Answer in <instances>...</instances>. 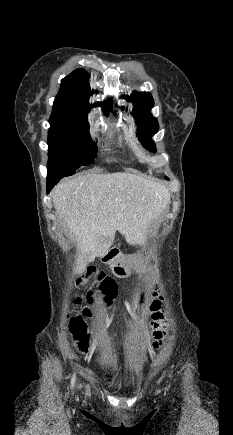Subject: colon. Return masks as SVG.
Here are the masks:
<instances>
[{
	"instance_id": "5ec220e1",
	"label": "colon",
	"mask_w": 233,
	"mask_h": 435,
	"mask_svg": "<svg viewBox=\"0 0 233 435\" xmlns=\"http://www.w3.org/2000/svg\"><path fill=\"white\" fill-rule=\"evenodd\" d=\"M94 272V270H92ZM110 278L105 275L104 272L100 271L97 273L96 280L104 281L109 280ZM84 282H78V286H82ZM163 297V283L158 281L154 283L153 287L150 290L141 291L137 298V304L139 306L147 307L148 313H153L160 308L161 299ZM80 299H77L79 301ZM91 312L85 310L83 315H77L72 318L74 329H75V338L77 340V345L80 351L87 352L90 348V339L91 332L89 330V326L85 321L86 317H91ZM157 337L161 338L162 333L157 332Z\"/></svg>"
}]
</instances>
